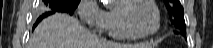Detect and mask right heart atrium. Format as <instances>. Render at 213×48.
I'll use <instances>...</instances> for the list:
<instances>
[{
	"label": "right heart atrium",
	"mask_w": 213,
	"mask_h": 48,
	"mask_svg": "<svg viewBox=\"0 0 213 48\" xmlns=\"http://www.w3.org/2000/svg\"><path fill=\"white\" fill-rule=\"evenodd\" d=\"M78 14L81 21L94 31H104L106 12L97 1L82 0L78 5Z\"/></svg>",
	"instance_id": "right-heart-atrium-1"
}]
</instances>
